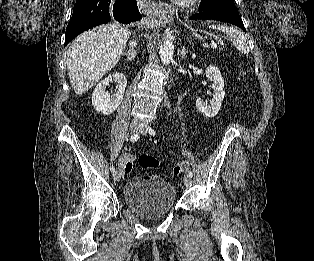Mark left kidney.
<instances>
[{
	"instance_id": "obj_1",
	"label": "left kidney",
	"mask_w": 314,
	"mask_h": 261,
	"mask_svg": "<svg viewBox=\"0 0 314 261\" xmlns=\"http://www.w3.org/2000/svg\"><path fill=\"white\" fill-rule=\"evenodd\" d=\"M206 77L213 82V99L210 101V105H207V101H203L201 98H198L196 100V107L206 117L212 118L218 114L222 101L225 97L224 80L221 76L220 70L213 65H210L207 68Z\"/></svg>"
}]
</instances>
